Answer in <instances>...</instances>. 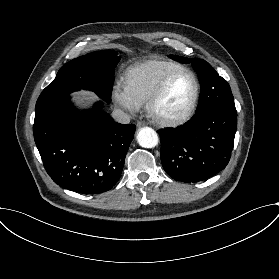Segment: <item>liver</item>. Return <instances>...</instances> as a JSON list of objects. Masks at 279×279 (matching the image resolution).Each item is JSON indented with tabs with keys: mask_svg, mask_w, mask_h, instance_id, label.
<instances>
[{
	"mask_svg": "<svg viewBox=\"0 0 279 279\" xmlns=\"http://www.w3.org/2000/svg\"><path fill=\"white\" fill-rule=\"evenodd\" d=\"M80 96H83V97H88V98H95V96L91 93H86V92H82L79 94Z\"/></svg>",
	"mask_w": 279,
	"mask_h": 279,
	"instance_id": "obj_1",
	"label": "liver"
}]
</instances>
